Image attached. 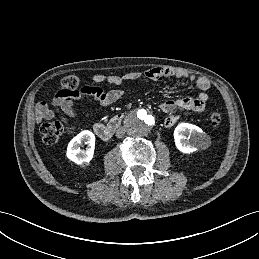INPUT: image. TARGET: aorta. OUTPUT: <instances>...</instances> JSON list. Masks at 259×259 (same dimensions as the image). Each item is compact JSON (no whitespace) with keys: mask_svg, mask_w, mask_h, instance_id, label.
<instances>
[{"mask_svg":"<svg viewBox=\"0 0 259 259\" xmlns=\"http://www.w3.org/2000/svg\"><path fill=\"white\" fill-rule=\"evenodd\" d=\"M154 124V116L147 109L137 110L131 113L125 120L126 130L134 137L146 135Z\"/></svg>","mask_w":259,"mask_h":259,"instance_id":"762f6f07","label":"aorta"}]
</instances>
